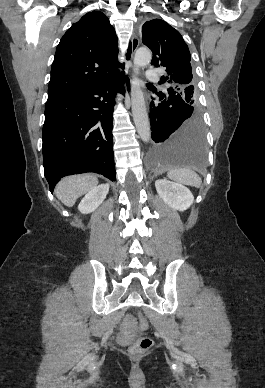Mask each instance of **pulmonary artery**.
Masks as SVG:
<instances>
[{"label":"pulmonary artery","instance_id":"obj_1","mask_svg":"<svg viewBox=\"0 0 265 388\" xmlns=\"http://www.w3.org/2000/svg\"><path fill=\"white\" fill-rule=\"evenodd\" d=\"M149 69L151 70V72L149 73V80L151 82H161L162 81V76L161 75H158L157 72H152L156 69V66L154 64H151L149 66Z\"/></svg>","mask_w":265,"mask_h":388}]
</instances>
